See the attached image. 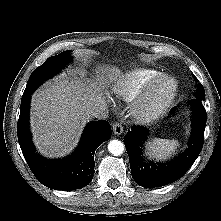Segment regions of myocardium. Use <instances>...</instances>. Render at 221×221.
Wrapping results in <instances>:
<instances>
[{"mask_svg":"<svg viewBox=\"0 0 221 221\" xmlns=\"http://www.w3.org/2000/svg\"><path fill=\"white\" fill-rule=\"evenodd\" d=\"M166 86L167 91L161 98H156V91ZM178 93L177 80L168 74H160L149 81L133 100L131 114L139 123H148L163 115L175 100Z\"/></svg>","mask_w":221,"mask_h":221,"instance_id":"1","label":"myocardium"}]
</instances>
